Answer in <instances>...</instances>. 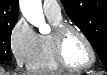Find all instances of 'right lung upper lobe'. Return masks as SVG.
<instances>
[{"label":"right lung upper lobe","instance_id":"cb5924a9","mask_svg":"<svg viewBox=\"0 0 107 75\" xmlns=\"http://www.w3.org/2000/svg\"><path fill=\"white\" fill-rule=\"evenodd\" d=\"M18 15V0H0V25L15 23Z\"/></svg>","mask_w":107,"mask_h":75}]
</instances>
